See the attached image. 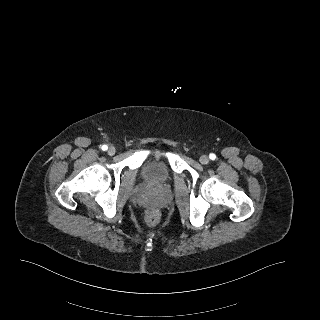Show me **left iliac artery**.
<instances>
[{
    "label": "left iliac artery",
    "mask_w": 320,
    "mask_h": 320,
    "mask_svg": "<svg viewBox=\"0 0 320 320\" xmlns=\"http://www.w3.org/2000/svg\"><path fill=\"white\" fill-rule=\"evenodd\" d=\"M209 158H210L211 160H215V159H216V155L213 154V153H211V154L209 155Z\"/></svg>",
    "instance_id": "left-iliac-artery-1"
}]
</instances>
